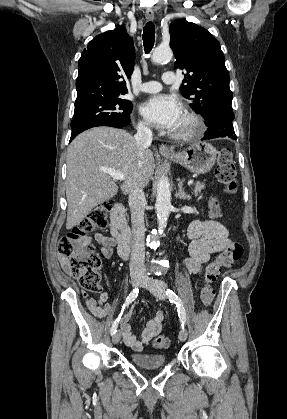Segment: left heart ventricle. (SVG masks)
Returning a JSON list of instances; mask_svg holds the SVG:
<instances>
[{"label": "left heart ventricle", "mask_w": 287, "mask_h": 419, "mask_svg": "<svg viewBox=\"0 0 287 419\" xmlns=\"http://www.w3.org/2000/svg\"><path fill=\"white\" fill-rule=\"evenodd\" d=\"M185 126H186V120L184 119V117H182L178 127L176 128V131L182 130Z\"/></svg>", "instance_id": "b2bd125f"}]
</instances>
